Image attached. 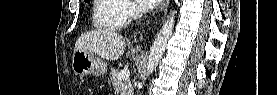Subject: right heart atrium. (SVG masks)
<instances>
[{
	"label": "right heart atrium",
	"mask_w": 277,
	"mask_h": 95,
	"mask_svg": "<svg viewBox=\"0 0 277 95\" xmlns=\"http://www.w3.org/2000/svg\"><path fill=\"white\" fill-rule=\"evenodd\" d=\"M135 14V10L133 7H126L124 9V15L126 18H131Z\"/></svg>",
	"instance_id": "1"
}]
</instances>
